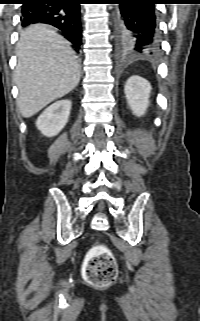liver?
<instances>
[{
	"mask_svg": "<svg viewBox=\"0 0 200 321\" xmlns=\"http://www.w3.org/2000/svg\"><path fill=\"white\" fill-rule=\"evenodd\" d=\"M16 56L14 81L19 111L25 118L68 94L80 81V67L70 43L47 25L26 28L20 34Z\"/></svg>",
	"mask_w": 200,
	"mask_h": 321,
	"instance_id": "obj_1",
	"label": "liver"
}]
</instances>
